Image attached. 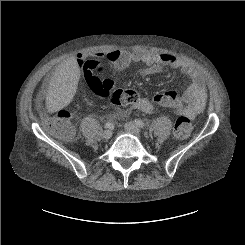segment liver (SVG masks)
<instances>
[{"mask_svg":"<svg viewBox=\"0 0 245 245\" xmlns=\"http://www.w3.org/2000/svg\"><path fill=\"white\" fill-rule=\"evenodd\" d=\"M80 69L75 57L63 61L50 81L46 97V108L54 113L68 106L72 101L79 80Z\"/></svg>","mask_w":245,"mask_h":245,"instance_id":"6515ba94","label":"liver"}]
</instances>
